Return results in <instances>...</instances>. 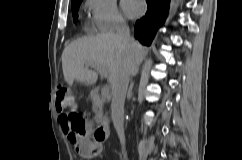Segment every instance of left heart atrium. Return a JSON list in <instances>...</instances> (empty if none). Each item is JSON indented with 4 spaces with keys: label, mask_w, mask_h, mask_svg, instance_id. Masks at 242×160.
Listing matches in <instances>:
<instances>
[{
    "label": "left heart atrium",
    "mask_w": 242,
    "mask_h": 160,
    "mask_svg": "<svg viewBox=\"0 0 242 160\" xmlns=\"http://www.w3.org/2000/svg\"><path fill=\"white\" fill-rule=\"evenodd\" d=\"M122 7L129 17H137L145 10L143 0H122Z\"/></svg>",
    "instance_id": "1"
}]
</instances>
